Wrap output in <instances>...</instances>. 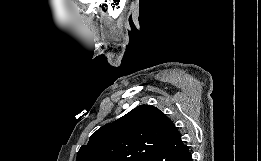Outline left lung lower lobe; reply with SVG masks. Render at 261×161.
I'll list each match as a JSON object with an SVG mask.
<instances>
[{"instance_id":"obj_1","label":"left lung lower lobe","mask_w":261,"mask_h":161,"mask_svg":"<svg viewBox=\"0 0 261 161\" xmlns=\"http://www.w3.org/2000/svg\"><path fill=\"white\" fill-rule=\"evenodd\" d=\"M149 161H193L188 147L183 144L177 131L171 141L158 147Z\"/></svg>"}]
</instances>
